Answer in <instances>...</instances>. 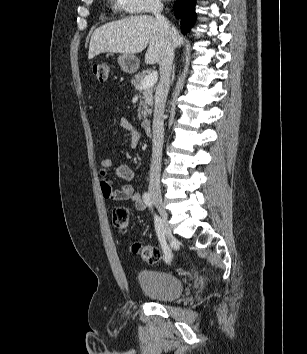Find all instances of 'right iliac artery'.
<instances>
[{"label":"right iliac artery","instance_id":"right-iliac-artery-1","mask_svg":"<svg viewBox=\"0 0 307 354\" xmlns=\"http://www.w3.org/2000/svg\"><path fill=\"white\" fill-rule=\"evenodd\" d=\"M143 199H144L145 204L149 208H152V200H151L150 194L145 192L143 194ZM155 230H156L158 239L160 241L161 247H162L163 252H164L165 262L168 263L172 259V252H171V249H170V247L167 244L166 239H165L164 225L162 223V220L157 215H155Z\"/></svg>","mask_w":307,"mask_h":354}]
</instances>
